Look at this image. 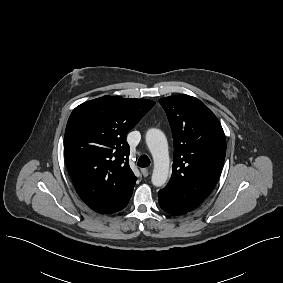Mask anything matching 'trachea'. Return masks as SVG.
Segmentation results:
<instances>
[{
    "label": "trachea",
    "instance_id": "3493384b",
    "mask_svg": "<svg viewBox=\"0 0 283 283\" xmlns=\"http://www.w3.org/2000/svg\"><path fill=\"white\" fill-rule=\"evenodd\" d=\"M137 165L139 167H147L150 165V160L146 155H142L140 156V158L138 159V163Z\"/></svg>",
    "mask_w": 283,
    "mask_h": 283
}]
</instances>
